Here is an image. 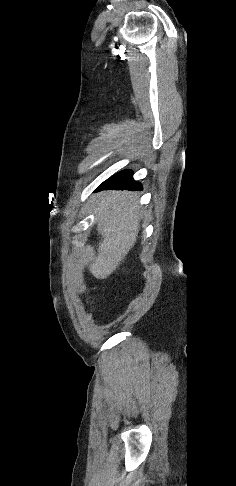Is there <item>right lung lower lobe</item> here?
I'll return each mask as SVG.
<instances>
[{
	"instance_id": "obj_1",
	"label": "right lung lower lobe",
	"mask_w": 236,
	"mask_h": 486,
	"mask_svg": "<svg viewBox=\"0 0 236 486\" xmlns=\"http://www.w3.org/2000/svg\"><path fill=\"white\" fill-rule=\"evenodd\" d=\"M132 175L133 172L131 170L121 171L113 175L106 181H104L102 184H100L95 190V192L107 190V189H117V190L128 189L131 191L141 189L142 185L137 181H135Z\"/></svg>"
}]
</instances>
